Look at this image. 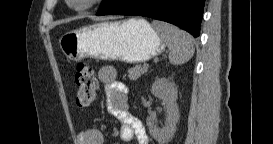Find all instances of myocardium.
<instances>
[{
  "label": "myocardium",
  "mask_w": 273,
  "mask_h": 144,
  "mask_svg": "<svg viewBox=\"0 0 273 144\" xmlns=\"http://www.w3.org/2000/svg\"><path fill=\"white\" fill-rule=\"evenodd\" d=\"M73 3V0H70ZM104 0H84L81 4H76L77 11H85L97 5H100Z\"/></svg>",
  "instance_id": "1"
}]
</instances>
